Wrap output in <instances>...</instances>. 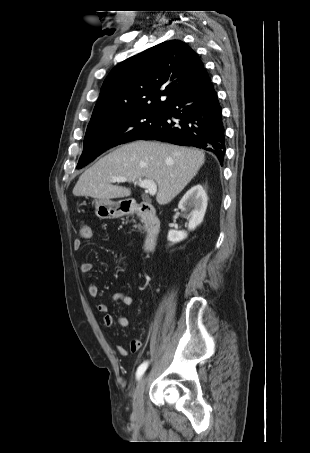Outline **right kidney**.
<instances>
[{"instance_id":"ca27d5eb","label":"right kidney","mask_w":310,"mask_h":453,"mask_svg":"<svg viewBox=\"0 0 310 453\" xmlns=\"http://www.w3.org/2000/svg\"><path fill=\"white\" fill-rule=\"evenodd\" d=\"M207 200V194L200 184L191 187L180 200L179 209L182 211L191 210L188 215V230H194L203 221ZM186 237V231L170 230L168 232V241L172 244L180 242Z\"/></svg>"}]
</instances>
